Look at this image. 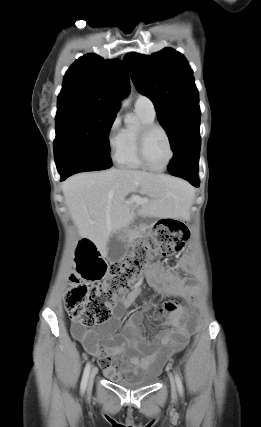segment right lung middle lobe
Masks as SVG:
<instances>
[{"label": "right lung middle lobe", "instance_id": "1", "mask_svg": "<svg viewBox=\"0 0 261 427\" xmlns=\"http://www.w3.org/2000/svg\"><path fill=\"white\" fill-rule=\"evenodd\" d=\"M115 113L91 108H69L56 114L55 163L111 167L108 134Z\"/></svg>", "mask_w": 261, "mask_h": 427}]
</instances>
